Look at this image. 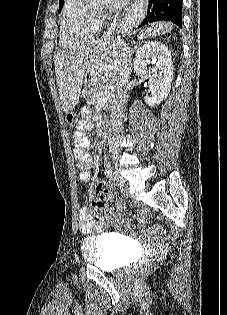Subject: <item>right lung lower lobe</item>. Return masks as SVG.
Segmentation results:
<instances>
[{"mask_svg":"<svg viewBox=\"0 0 227 315\" xmlns=\"http://www.w3.org/2000/svg\"><path fill=\"white\" fill-rule=\"evenodd\" d=\"M159 20L182 25V0H148L147 16L141 26Z\"/></svg>","mask_w":227,"mask_h":315,"instance_id":"right-lung-lower-lobe-1","label":"right lung lower lobe"}]
</instances>
